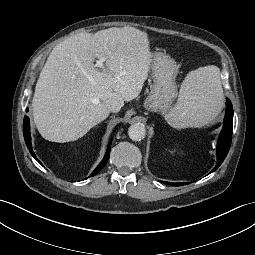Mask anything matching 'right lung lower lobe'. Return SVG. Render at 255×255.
Here are the masks:
<instances>
[{"mask_svg": "<svg viewBox=\"0 0 255 255\" xmlns=\"http://www.w3.org/2000/svg\"><path fill=\"white\" fill-rule=\"evenodd\" d=\"M29 118L27 116L24 117V121H23V134H24V139L26 142V145L31 153V155L37 160L36 155L34 154V152L32 151V146H31V136H30V131H29ZM111 142L112 140L109 141L108 143V147L106 150V154H105V158L102 160V162L97 166V168L93 171V173L91 174L90 177L95 176L107 163L108 159H109V153L111 150ZM39 163L41 164V162L39 161Z\"/></svg>", "mask_w": 255, "mask_h": 255, "instance_id": "right-lung-lower-lobe-1", "label": "right lung lower lobe"}]
</instances>
